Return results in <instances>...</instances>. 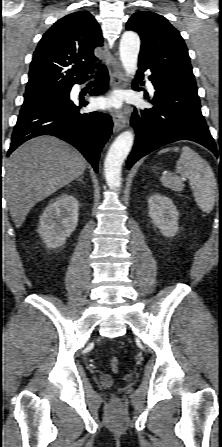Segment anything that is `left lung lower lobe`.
Listing matches in <instances>:
<instances>
[{
	"mask_svg": "<svg viewBox=\"0 0 222 447\" xmlns=\"http://www.w3.org/2000/svg\"><path fill=\"white\" fill-rule=\"evenodd\" d=\"M138 67L137 79L140 81L143 72L149 69V80L156 91L150 101L153 108H135L132 114L131 125L136 131V139L127 167L155 149L178 140L195 141L217 156V147L201 113L197 92L156 70L147 61L139 60Z\"/></svg>",
	"mask_w": 222,
	"mask_h": 447,
	"instance_id": "1",
	"label": "left lung lower lobe"
}]
</instances>
